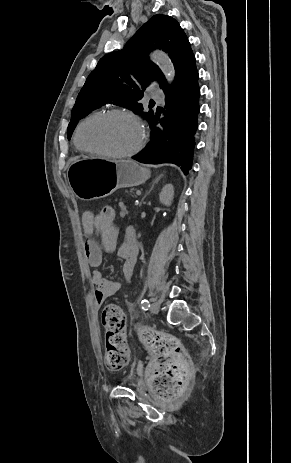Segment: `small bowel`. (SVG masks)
Returning <instances> with one entry per match:
<instances>
[{
  "label": "small bowel",
  "mask_w": 291,
  "mask_h": 463,
  "mask_svg": "<svg viewBox=\"0 0 291 463\" xmlns=\"http://www.w3.org/2000/svg\"><path fill=\"white\" fill-rule=\"evenodd\" d=\"M84 234L86 237L84 252L86 260L90 267L93 268L91 273V283L95 286L94 300L96 306H101L104 301L113 296L121 287L120 282L107 279L97 269L102 263L103 252L113 253L123 259L122 279L126 284L133 280L135 263L138 256V246L135 230L133 227H127L124 235V241L118 244L119 230L116 224L107 226L106 231H99L96 223V214L86 211L81 218ZM99 236L100 244L96 241L95 236Z\"/></svg>",
  "instance_id": "obj_1"
}]
</instances>
